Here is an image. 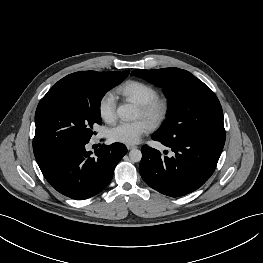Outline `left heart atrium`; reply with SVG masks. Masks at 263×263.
<instances>
[{
    "label": "left heart atrium",
    "instance_id": "39dd6f15",
    "mask_svg": "<svg viewBox=\"0 0 263 263\" xmlns=\"http://www.w3.org/2000/svg\"><path fill=\"white\" fill-rule=\"evenodd\" d=\"M150 130L151 124L143 119L134 122H121L109 130L108 137L113 142L134 145Z\"/></svg>",
    "mask_w": 263,
    "mask_h": 263
}]
</instances>
